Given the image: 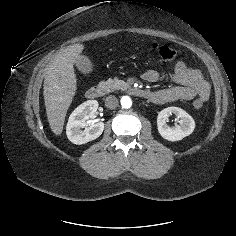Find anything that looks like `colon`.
<instances>
[{"label": "colon", "instance_id": "colon-1", "mask_svg": "<svg viewBox=\"0 0 236 236\" xmlns=\"http://www.w3.org/2000/svg\"><path fill=\"white\" fill-rule=\"evenodd\" d=\"M152 50L165 62H173L180 57V53L174 47L169 45L155 42L152 44ZM203 104L204 101L199 97L193 101V106L196 109L202 108Z\"/></svg>", "mask_w": 236, "mask_h": 236}]
</instances>
